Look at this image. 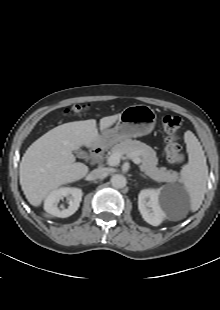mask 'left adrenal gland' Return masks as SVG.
Returning <instances> with one entry per match:
<instances>
[{
	"label": "left adrenal gland",
	"mask_w": 220,
	"mask_h": 310,
	"mask_svg": "<svg viewBox=\"0 0 220 310\" xmlns=\"http://www.w3.org/2000/svg\"><path fill=\"white\" fill-rule=\"evenodd\" d=\"M143 178H146V176L145 175H143V174H140Z\"/></svg>",
	"instance_id": "a2214340"
}]
</instances>
